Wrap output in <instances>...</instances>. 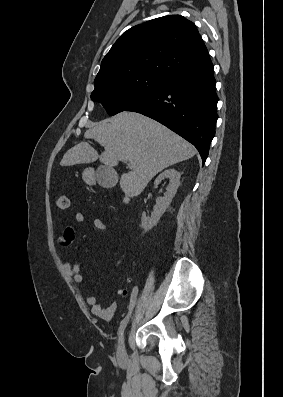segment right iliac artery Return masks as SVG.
I'll return each instance as SVG.
<instances>
[{"mask_svg": "<svg viewBox=\"0 0 283 397\" xmlns=\"http://www.w3.org/2000/svg\"><path fill=\"white\" fill-rule=\"evenodd\" d=\"M131 294L132 295H131V298H130L129 312H128L127 316L121 321L119 329H118V341L119 342L121 341L123 332H124L125 327L127 325V322H128L129 316H130V314L132 312V309H133L134 305L137 303V295H136L137 294V288H134L131 291Z\"/></svg>", "mask_w": 283, "mask_h": 397, "instance_id": "right-iliac-artery-1", "label": "right iliac artery"}]
</instances>
